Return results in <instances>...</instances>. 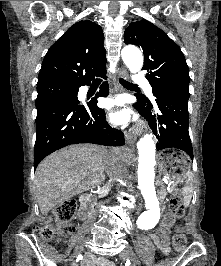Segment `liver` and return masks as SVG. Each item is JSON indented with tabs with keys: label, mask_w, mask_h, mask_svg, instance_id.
<instances>
[{
	"label": "liver",
	"mask_w": 221,
	"mask_h": 266,
	"mask_svg": "<svg viewBox=\"0 0 221 266\" xmlns=\"http://www.w3.org/2000/svg\"><path fill=\"white\" fill-rule=\"evenodd\" d=\"M108 153L121 162H129L123 148L107 151L91 144L70 145L46 157L38 165L34 180L41 214L46 215L58 204L103 184Z\"/></svg>",
	"instance_id": "liver-1"
}]
</instances>
